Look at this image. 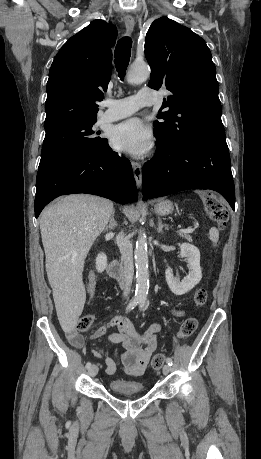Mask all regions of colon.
Wrapping results in <instances>:
<instances>
[{
	"mask_svg": "<svg viewBox=\"0 0 261 459\" xmlns=\"http://www.w3.org/2000/svg\"><path fill=\"white\" fill-rule=\"evenodd\" d=\"M202 200L205 210L210 219L215 223L218 229H223L229 219V212L224 204L213 193L206 192L202 195ZM208 298V293L205 288H199L194 294V303L196 306H203ZM94 317L91 314L82 315L75 326L77 332L87 331L93 324ZM198 327V320L194 317H189L183 321L178 332L177 339L184 340L190 337ZM165 361V355L156 354L151 359V367L158 370L162 367Z\"/></svg>",
	"mask_w": 261,
	"mask_h": 459,
	"instance_id": "colon-1",
	"label": "colon"
}]
</instances>
